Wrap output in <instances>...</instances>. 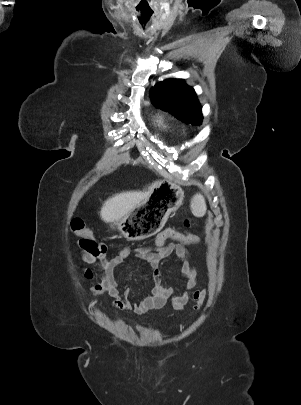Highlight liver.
<instances>
[{"label": "liver", "mask_w": 301, "mask_h": 405, "mask_svg": "<svg viewBox=\"0 0 301 405\" xmlns=\"http://www.w3.org/2000/svg\"><path fill=\"white\" fill-rule=\"evenodd\" d=\"M157 183L158 182L153 183L148 187V190L143 192H122L108 198L101 208V219L107 223H114L123 219L132 209L149 196V193Z\"/></svg>", "instance_id": "obj_1"}]
</instances>
